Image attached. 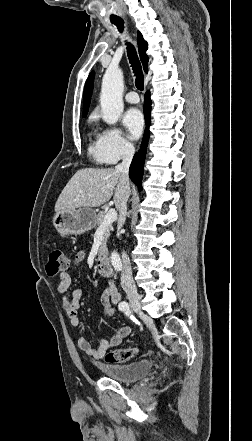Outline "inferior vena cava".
<instances>
[{"instance_id":"obj_1","label":"inferior vena cava","mask_w":252,"mask_h":441,"mask_svg":"<svg viewBox=\"0 0 252 441\" xmlns=\"http://www.w3.org/2000/svg\"><path fill=\"white\" fill-rule=\"evenodd\" d=\"M134 153H135V149L133 146L126 147L124 150L122 163L118 164L115 167V171L121 175L123 182L126 184V189H128V180H129L128 172ZM128 197H129L128 191H125L124 196L118 206V210H119V219L117 225L118 237H120L121 228L126 220ZM122 263H123V267H122L123 270L121 274V285L124 290L134 292L136 288L132 277L131 264L129 257L125 252H122Z\"/></svg>"}]
</instances>
